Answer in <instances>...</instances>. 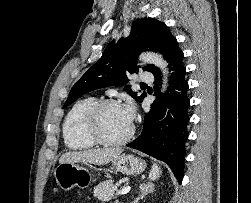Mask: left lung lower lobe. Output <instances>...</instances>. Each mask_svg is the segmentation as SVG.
Listing matches in <instances>:
<instances>
[{
  "mask_svg": "<svg viewBox=\"0 0 251 203\" xmlns=\"http://www.w3.org/2000/svg\"><path fill=\"white\" fill-rule=\"evenodd\" d=\"M183 57V52L175 39L165 57L171 71L168 90L162 100L155 102L151 110L145 114L141 135L127 144L130 148L164 161L180 183L183 179L190 107ZM152 73L155 77L154 88L158 91L161 72L157 68Z\"/></svg>",
  "mask_w": 251,
  "mask_h": 203,
  "instance_id": "0a47b994",
  "label": "left lung lower lobe"
}]
</instances>
